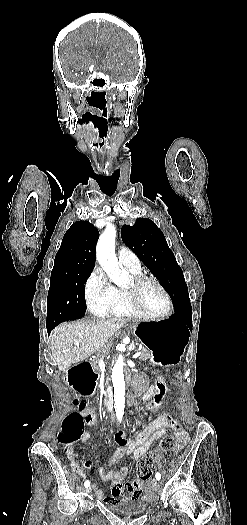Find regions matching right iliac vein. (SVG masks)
<instances>
[{
	"label": "right iliac vein",
	"instance_id": "obj_1",
	"mask_svg": "<svg viewBox=\"0 0 247 525\" xmlns=\"http://www.w3.org/2000/svg\"><path fill=\"white\" fill-rule=\"evenodd\" d=\"M91 490H92V488H91L90 486H88V487L86 488V492H87V493H90Z\"/></svg>",
	"mask_w": 247,
	"mask_h": 525
}]
</instances>
